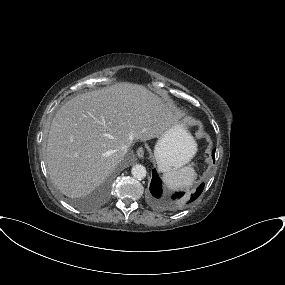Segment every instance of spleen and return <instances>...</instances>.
Masks as SVG:
<instances>
[{
  "label": "spleen",
  "mask_w": 285,
  "mask_h": 285,
  "mask_svg": "<svg viewBox=\"0 0 285 285\" xmlns=\"http://www.w3.org/2000/svg\"><path fill=\"white\" fill-rule=\"evenodd\" d=\"M160 171L163 172L162 180L166 187L172 190L190 188L197 177L196 171L189 166L183 167L177 171H165L162 169H160Z\"/></svg>",
  "instance_id": "3e777b00"
}]
</instances>
